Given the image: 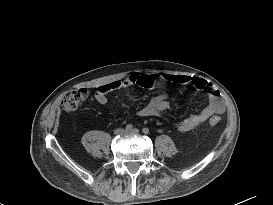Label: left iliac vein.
<instances>
[{
	"label": "left iliac vein",
	"mask_w": 273,
	"mask_h": 205,
	"mask_svg": "<svg viewBox=\"0 0 273 205\" xmlns=\"http://www.w3.org/2000/svg\"><path fill=\"white\" fill-rule=\"evenodd\" d=\"M127 133H130V134H138L139 133V130L134 128L132 130H128Z\"/></svg>",
	"instance_id": "obj_1"
}]
</instances>
